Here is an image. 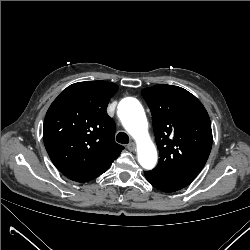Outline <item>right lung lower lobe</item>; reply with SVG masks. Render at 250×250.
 Here are the masks:
<instances>
[{
  "mask_svg": "<svg viewBox=\"0 0 250 250\" xmlns=\"http://www.w3.org/2000/svg\"><path fill=\"white\" fill-rule=\"evenodd\" d=\"M109 168L106 167L100 171L94 172V173H90V174H85V175H80V176H74L72 178H69L71 180L77 181V182H87L90 181L94 178H96L97 176L101 175L102 173H104L107 169Z\"/></svg>",
  "mask_w": 250,
  "mask_h": 250,
  "instance_id": "98d812e1",
  "label": "right lung lower lobe"
}]
</instances>
